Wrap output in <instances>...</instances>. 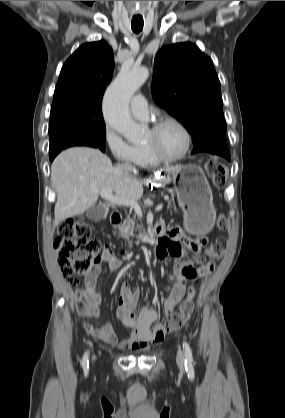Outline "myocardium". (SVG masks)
Segmentation results:
<instances>
[{
	"mask_svg": "<svg viewBox=\"0 0 285 418\" xmlns=\"http://www.w3.org/2000/svg\"><path fill=\"white\" fill-rule=\"evenodd\" d=\"M166 124H173L175 126H177L183 133L184 138H185V144H184V148L182 150V152L175 156V157H166L164 155H162L155 147H153L150 144H144L148 154L156 161H158L159 163H174L177 161H180L182 159H184L186 157V155L189 153L190 148H191V134L190 131L188 130V128L178 119L174 118V117H163L160 118L159 120L155 121L151 127V130L153 132L158 131L161 127H163Z\"/></svg>",
	"mask_w": 285,
	"mask_h": 418,
	"instance_id": "myocardium-1",
	"label": "myocardium"
}]
</instances>
